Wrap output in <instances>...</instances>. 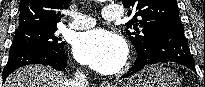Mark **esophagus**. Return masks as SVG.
<instances>
[{
  "label": "esophagus",
  "instance_id": "34e87169",
  "mask_svg": "<svg viewBox=\"0 0 205 87\" xmlns=\"http://www.w3.org/2000/svg\"><path fill=\"white\" fill-rule=\"evenodd\" d=\"M111 85H110V82L109 81H102L101 83H100V87H110Z\"/></svg>",
  "mask_w": 205,
  "mask_h": 87
}]
</instances>
